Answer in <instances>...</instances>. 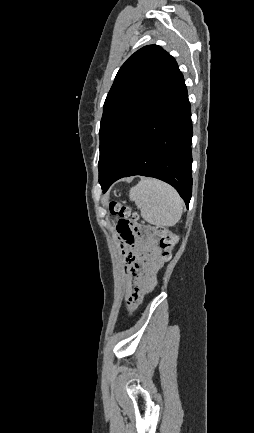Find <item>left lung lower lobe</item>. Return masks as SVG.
Wrapping results in <instances>:
<instances>
[{"instance_id":"0a47b994","label":"left lung lower lobe","mask_w":254,"mask_h":433,"mask_svg":"<svg viewBox=\"0 0 254 433\" xmlns=\"http://www.w3.org/2000/svg\"><path fill=\"white\" fill-rule=\"evenodd\" d=\"M192 134L190 103L180 73L138 131L122 162L101 184L103 192L122 177L149 176L172 185L188 207L192 194Z\"/></svg>"}]
</instances>
